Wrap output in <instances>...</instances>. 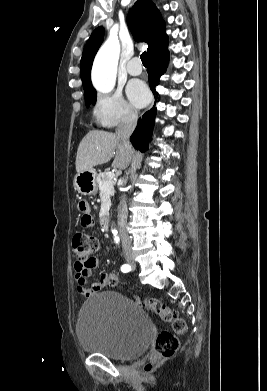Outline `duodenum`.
Returning a JSON list of instances; mask_svg holds the SVG:
<instances>
[{"label": "duodenum", "instance_id": "410a0bca", "mask_svg": "<svg viewBox=\"0 0 267 391\" xmlns=\"http://www.w3.org/2000/svg\"><path fill=\"white\" fill-rule=\"evenodd\" d=\"M100 224L103 230L107 231L109 229L110 219L107 213L100 216Z\"/></svg>", "mask_w": 267, "mask_h": 391}]
</instances>
